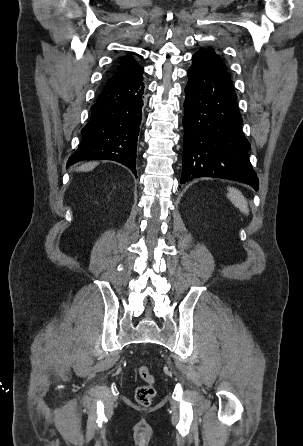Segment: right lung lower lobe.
I'll return each mask as SVG.
<instances>
[{"label":"right lung lower lobe","instance_id":"right-lung-lower-lobe-1","mask_svg":"<svg viewBox=\"0 0 303 446\" xmlns=\"http://www.w3.org/2000/svg\"><path fill=\"white\" fill-rule=\"evenodd\" d=\"M142 75L105 86L92 106L82 141L67 166L82 160H113L136 174V147L141 123L144 83Z\"/></svg>","mask_w":303,"mask_h":446}]
</instances>
